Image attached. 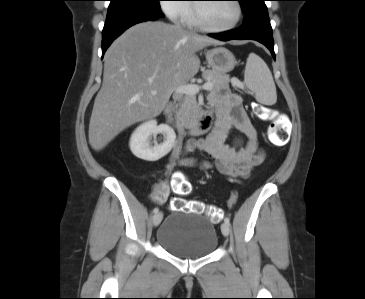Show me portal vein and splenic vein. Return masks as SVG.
I'll return each mask as SVG.
<instances>
[{"label":"portal vein and splenic vein","instance_id":"obj_1","mask_svg":"<svg viewBox=\"0 0 365 299\" xmlns=\"http://www.w3.org/2000/svg\"><path fill=\"white\" fill-rule=\"evenodd\" d=\"M213 87L212 83L207 82L205 83L202 87L198 86L196 84H187V85H181L176 89L177 93H184L187 95H196L199 90L202 88L204 90H211ZM157 92L156 91H152L151 94L155 95Z\"/></svg>","mask_w":365,"mask_h":299}]
</instances>
